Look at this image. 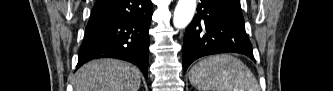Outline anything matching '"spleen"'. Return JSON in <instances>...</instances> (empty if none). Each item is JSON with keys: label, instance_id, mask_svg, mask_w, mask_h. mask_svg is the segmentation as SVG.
<instances>
[{"label": "spleen", "instance_id": "3e777b00", "mask_svg": "<svg viewBox=\"0 0 333 91\" xmlns=\"http://www.w3.org/2000/svg\"><path fill=\"white\" fill-rule=\"evenodd\" d=\"M189 80L198 91H259L251 70L238 58L220 54L205 58L189 71Z\"/></svg>", "mask_w": 333, "mask_h": 91}]
</instances>
